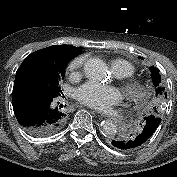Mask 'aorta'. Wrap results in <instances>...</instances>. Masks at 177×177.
Segmentation results:
<instances>
[{
	"label": "aorta",
	"instance_id": "1",
	"mask_svg": "<svg viewBox=\"0 0 177 177\" xmlns=\"http://www.w3.org/2000/svg\"><path fill=\"white\" fill-rule=\"evenodd\" d=\"M84 73L86 77L93 81H101L107 77L106 63L98 58H89L84 64ZM117 132V126L110 120L102 124V134L107 137L114 136Z\"/></svg>",
	"mask_w": 177,
	"mask_h": 177
}]
</instances>
